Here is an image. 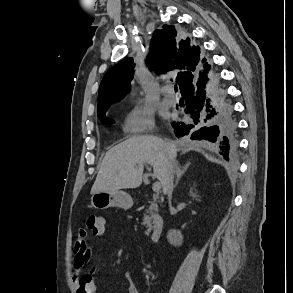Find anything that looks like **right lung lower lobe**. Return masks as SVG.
Instances as JSON below:
<instances>
[{"instance_id":"right-lung-lower-lobe-1","label":"right lung lower lobe","mask_w":293,"mask_h":293,"mask_svg":"<svg viewBox=\"0 0 293 293\" xmlns=\"http://www.w3.org/2000/svg\"><path fill=\"white\" fill-rule=\"evenodd\" d=\"M210 65L204 64V72L199 73L180 92L186 102L185 112L192 118L191 124L173 125L176 136H190L193 140H208L217 142L221 154L228 160L229 153L233 152L237 145L236 121L232 117L231 107L223 101L205 100V84ZM207 123L209 126H202Z\"/></svg>"}]
</instances>
